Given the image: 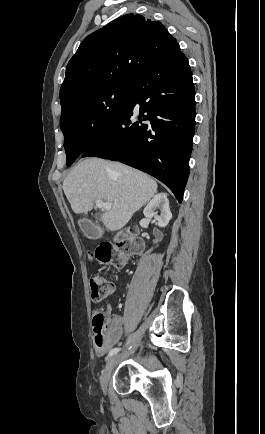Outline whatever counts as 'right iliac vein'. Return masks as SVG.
Masks as SVG:
<instances>
[{"label":"right iliac vein","mask_w":265,"mask_h":434,"mask_svg":"<svg viewBox=\"0 0 265 434\" xmlns=\"http://www.w3.org/2000/svg\"><path fill=\"white\" fill-rule=\"evenodd\" d=\"M130 354V351H124L123 353L119 355L112 356L109 361L107 362L101 377H100V386L103 390V392H106L107 384L109 382L110 376L112 374L114 366L118 363V361L124 359Z\"/></svg>","instance_id":"1"}]
</instances>
